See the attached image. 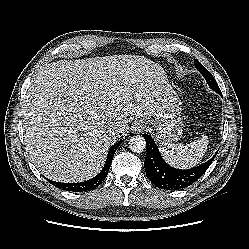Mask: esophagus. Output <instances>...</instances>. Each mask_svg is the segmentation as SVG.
Here are the masks:
<instances>
[{
    "label": "esophagus",
    "mask_w": 249,
    "mask_h": 249,
    "mask_svg": "<svg viewBox=\"0 0 249 249\" xmlns=\"http://www.w3.org/2000/svg\"><path fill=\"white\" fill-rule=\"evenodd\" d=\"M144 128H145V124L141 121L137 122L134 125V130H135V132H138V133L142 132L144 130Z\"/></svg>",
    "instance_id": "obj_1"
}]
</instances>
